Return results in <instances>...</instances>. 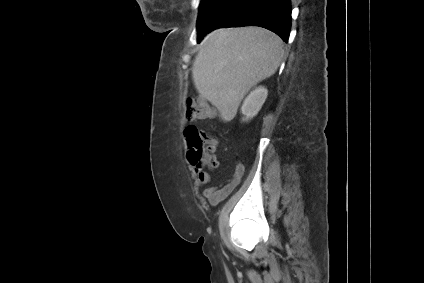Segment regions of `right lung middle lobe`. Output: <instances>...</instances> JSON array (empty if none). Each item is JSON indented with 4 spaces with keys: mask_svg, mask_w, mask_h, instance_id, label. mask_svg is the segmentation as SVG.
Wrapping results in <instances>:
<instances>
[{
    "mask_svg": "<svg viewBox=\"0 0 424 283\" xmlns=\"http://www.w3.org/2000/svg\"><path fill=\"white\" fill-rule=\"evenodd\" d=\"M228 0H201L197 20V31L202 29L214 17Z\"/></svg>",
    "mask_w": 424,
    "mask_h": 283,
    "instance_id": "right-lung-middle-lobe-1",
    "label": "right lung middle lobe"
}]
</instances>
